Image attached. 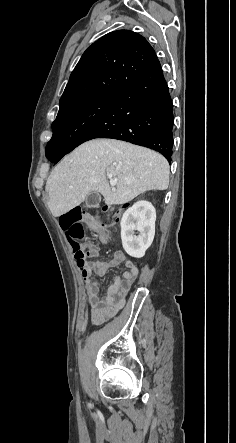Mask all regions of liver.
Returning <instances> with one entry per match:
<instances>
[{"instance_id": "liver-1", "label": "liver", "mask_w": 236, "mask_h": 443, "mask_svg": "<svg viewBox=\"0 0 236 443\" xmlns=\"http://www.w3.org/2000/svg\"><path fill=\"white\" fill-rule=\"evenodd\" d=\"M108 179L116 181L111 189ZM169 164L159 153L114 139H95L76 148L51 172L46 183L48 206L59 217L92 192L105 204L120 205L149 190H166Z\"/></svg>"}]
</instances>
